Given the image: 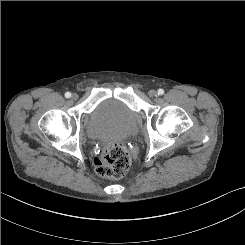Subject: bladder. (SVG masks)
<instances>
[{"mask_svg": "<svg viewBox=\"0 0 245 245\" xmlns=\"http://www.w3.org/2000/svg\"><path fill=\"white\" fill-rule=\"evenodd\" d=\"M86 131L93 139H125L137 131V115L124 103L107 99L90 113Z\"/></svg>", "mask_w": 245, "mask_h": 245, "instance_id": "obj_1", "label": "bladder"}]
</instances>
